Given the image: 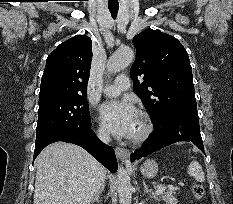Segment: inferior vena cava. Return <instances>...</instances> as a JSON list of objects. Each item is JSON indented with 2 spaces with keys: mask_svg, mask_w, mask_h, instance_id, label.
<instances>
[{
  "mask_svg": "<svg viewBox=\"0 0 233 204\" xmlns=\"http://www.w3.org/2000/svg\"><path fill=\"white\" fill-rule=\"evenodd\" d=\"M98 137L104 143H109L110 142V135L107 132H104V131L99 132Z\"/></svg>",
  "mask_w": 233,
  "mask_h": 204,
  "instance_id": "602c4592",
  "label": "inferior vena cava"
}]
</instances>
